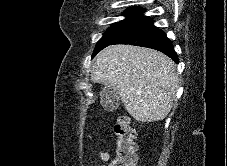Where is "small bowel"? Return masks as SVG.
Returning <instances> with one entry per match:
<instances>
[{
    "label": "small bowel",
    "instance_id": "small-bowel-1",
    "mask_svg": "<svg viewBox=\"0 0 227 166\" xmlns=\"http://www.w3.org/2000/svg\"><path fill=\"white\" fill-rule=\"evenodd\" d=\"M98 157L102 162H106L110 159V153L108 150H102L98 153ZM102 162L99 163V166H104Z\"/></svg>",
    "mask_w": 227,
    "mask_h": 166
}]
</instances>
